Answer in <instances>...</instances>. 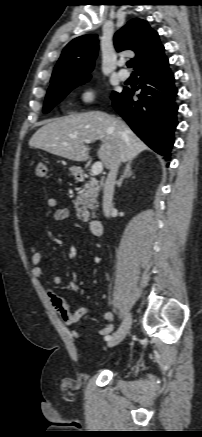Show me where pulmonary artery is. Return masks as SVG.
<instances>
[{
  "instance_id": "obj_1",
  "label": "pulmonary artery",
  "mask_w": 202,
  "mask_h": 437,
  "mask_svg": "<svg viewBox=\"0 0 202 437\" xmlns=\"http://www.w3.org/2000/svg\"><path fill=\"white\" fill-rule=\"evenodd\" d=\"M120 65H123L122 63ZM118 78L122 81H125L129 78V73L125 69H121L118 72Z\"/></svg>"
}]
</instances>
